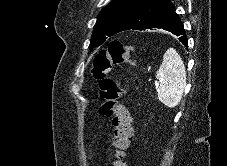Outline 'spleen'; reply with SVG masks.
<instances>
[{
	"mask_svg": "<svg viewBox=\"0 0 227 166\" xmlns=\"http://www.w3.org/2000/svg\"><path fill=\"white\" fill-rule=\"evenodd\" d=\"M156 78L160 82L157 88L158 100L169 108L177 106L186 86V70L175 49L169 48L165 52Z\"/></svg>",
	"mask_w": 227,
	"mask_h": 166,
	"instance_id": "1",
	"label": "spleen"
}]
</instances>
